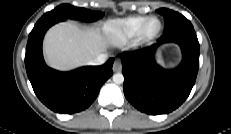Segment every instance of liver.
<instances>
[{
    "label": "liver",
    "instance_id": "obj_1",
    "mask_svg": "<svg viewBox=\"0 0 231 134\" xmlns=\"http://www.w3.org/2000/svg\"><path fill=\"white\" fill-rule=\"evenodd\" d=\"M123 42L115 31L103 34L99 28L80 29L71 22H62L48 30L43 50L49 66L70 70L88 64L110 44Z\"/></svg>",
    "mask_w": 231,
    "mask_h": 134
}]
</instances>
